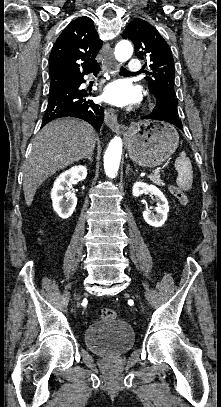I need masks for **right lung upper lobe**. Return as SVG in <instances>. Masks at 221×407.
<instances>
[{"label": "right lung upper lobe", "instance_id": "1", "mask_svg": "<svg viewBox=\"0 0 221 407\" xmlns=\"http://www.w3.org/2000/svg\"><path fill=\"white\" fill-rule=\"evenodd\" d=\"M101 45L91 18L83 16L72 21L56 40L50 54L52 86L74 81L99 68L95 57Z\"/></svg>", "mask_w": 221, "mask_h": 407}]
</instances>
